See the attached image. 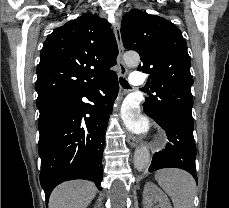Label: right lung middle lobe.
Returning <instances> with one entry per match:
<instances>
[{
	"instance_id": "dd1d6c3e",
	"label": "right lung middle lobe",
	"mask_w": 229,
	"mask_h": 208,
	"mask_svg": "<svg viewBox=\"0 0 229 208\" xmlns=\"http://www.w3.org/2000/svg\"><path fill=\"white\" fill-rule=\"evenodd\" d=\"M69 101L70 99H56V100L46 101L43 103H37V108L39 109L40 112L39 120L46 117L47 115L55 111L57 108L68 103Z\"/></svg>"
}]
</instances>
